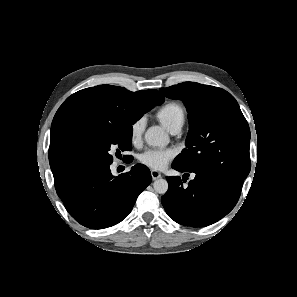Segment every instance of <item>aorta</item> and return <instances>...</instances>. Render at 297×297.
<instances>
[{
    "mask_svg": "<svg viewBox=\"0 0 297 297\" xmlns=\"http://www.w3.org/2000/svg\"><path fill=\"white\" fill-rule=\"evenodd\" d=\"M145 141L149 146L163 147L168 144L169 137L161 127L152 126L145 133ZM153 187L157 193L165 194L168 190V182L165 179H157Z\"/></svg>",
    "mask_w": 297,
    "mask_h": 297,
    "instance_id": "obj_1",
    "label": "aorta"
}]
</instances>
